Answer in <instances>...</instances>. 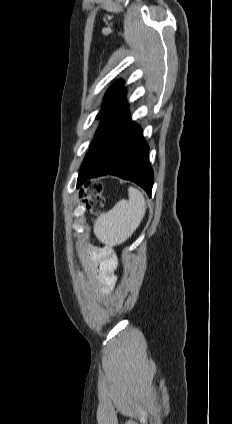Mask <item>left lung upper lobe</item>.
I'll list each match as a JSON object with an SVG mask.
<instances>
[{"mask_svg":"<svg viewBox=\"0 0 232 424\" xmlns=\"http://www.w3.org/2000/svg\"><path fill=\"white\" fill-rule=\"evenodd\" d=\"M120 86L121 82L119 81L115 83L106 94V104L102 110V113L100 114L102 120L97 129V132L99 133L111 120H113L124 109L126 105L125 92L118 90ZM85 159L83 163L85 162Z\"/></svg>","mask_w":232,"mask_h":424,"instance_id":"1","label":"left lung upper lobe"}]
</instances>
